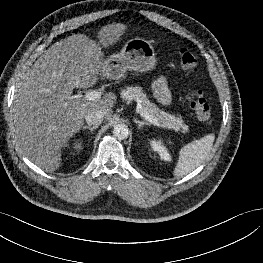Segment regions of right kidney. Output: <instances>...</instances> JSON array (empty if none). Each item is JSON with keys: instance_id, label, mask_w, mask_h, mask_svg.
<instances>
[{"instance_id": "right-kidney-1", "label": "right kidney", "mask_w": 263, "mask_h": 263, "mask_svg": "<svg viewBox=\"0 0 263 263\" xmlns=\"http://www.w3.org/2000/svg\"><path fill=\"white\" fill-rule=\"evenodd\" d=\"M74 145H75L74 148H75L76 150H79V149L82 148L81 142H80V143H79V142H76Z\"/></svg>"}]
</instances>
